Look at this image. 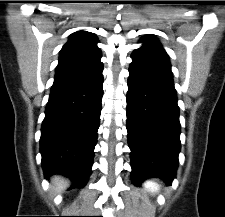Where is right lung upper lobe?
Listing matches in <instances>:
<instances>
[{"mask_svg":"<svg viewBox=\"0 0 225 217\" xmlns=\"http://www.w3.org/2000/svg\"><path fill=\"white\" fill-rule=\"evenodd\" d=\"M98 39L87 31L70 35L60 51L52 88L86 84L102 77L103 64Z\"/></svg>","mask_w":225,"mask_h":217,"instance_id":"1","label":"right lung upper lobe"}]
</instances>
